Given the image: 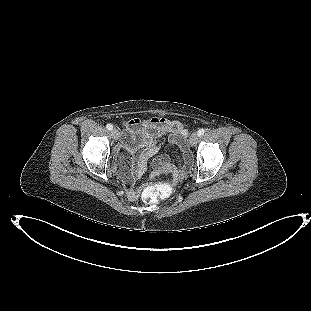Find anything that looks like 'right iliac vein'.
<instances>
[{
	"instance_id": "obj_1",
	"label": "right iliac vein",
	"mask_w": 311,
	"mask_h": 311,
	"mask_svg": "<svg viewBox=\"0 0 311 311\" xmlns=\"http://www.w3.org/2000/svg\"><path fill=\"white\" fill-rule=\"evenodd\" d=\"M111 135H112V138L115 141H117L119 139V137H120V133H119V131L116 128L112 129Z\"/></svg>"
}]
</instances>
